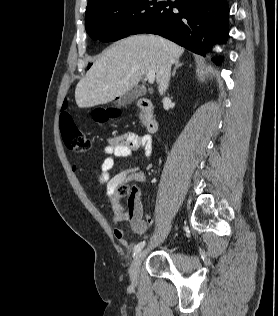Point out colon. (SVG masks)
Masks as SVG:
<instances>
[{"label":"colon","mask_w":278,"mask_h":316,"mask_svg":"<svg viewBox=\"0 0 278 316\" xmlns=\"http://www.w3.org/2000/svg\"><path fill=\"white\" fill-rule=\"evenodd\" d=\"M117 113L97 112L93 118L97 122H104L109 118L117 117ZM60 130L65 146L75 152H85L90 149L91 141L77 126L75 120L67 113L61 114L60 117ZM119 196H125L128 193L126 186L117 188Z\"/></svg>","instance_id":"obj_1"}]
</instances>
